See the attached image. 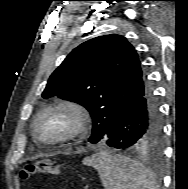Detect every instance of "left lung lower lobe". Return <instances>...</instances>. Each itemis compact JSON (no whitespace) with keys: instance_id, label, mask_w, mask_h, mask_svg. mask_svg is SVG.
Masks as SVG:
<instances>
[{"instance_id":"1","label":"left lung lower lobe","mask_w":188,"mask_h":189,"mask_svg":"<svg viewBox=\"0 0 188 189\" xmlns=\"http://www.w3.org/2000/svg\"><path fill=\"white\" fill-rule=\"evenodd\" d=\"M161 119L153 91L146 86L123 111L102 141L114 148L137 149L160 137Z\"/></svg>"}]
</instances>
